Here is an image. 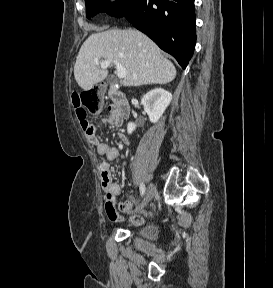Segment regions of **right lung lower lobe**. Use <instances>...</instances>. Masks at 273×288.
<instances>
[{
	"instance_id": "98d812e1",
	"label": "right lung lower lobe",
	"mask_w": 273,
	"mask_h": 288,
	"mask_svg": "<svg viewBox=\"0 0 273 288\" xmlns=\"http://www.w3.org/2000/svg\"><path fill=\"white\" fill-rule=\"evenodd\" d=\"M123 17L186 68L196 43L194 0H136Z\"/></svg>"
}]
</instances>
